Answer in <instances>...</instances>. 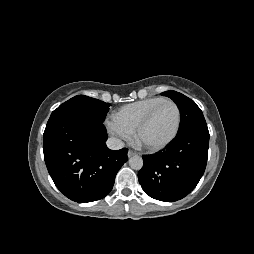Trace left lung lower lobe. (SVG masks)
Returning <instances> with one entry per match:
<instances>
[{"mask_svg":"<svg viewBox=\"0 0 254 254\" xmlns=\"http://www.w3.org/2000/svg\"><path fill=\"white\" fill-rule=\"evenodd\" d=\"M208 128L192 129L153 155H144L139 183L150 197L173 202L184 198L198 184L207 163Z\"/></svg>","mask_w":254,"mask_h":254,"instance_id":"0a47b994","label":"left lung lower lobe"}]
</instances>
